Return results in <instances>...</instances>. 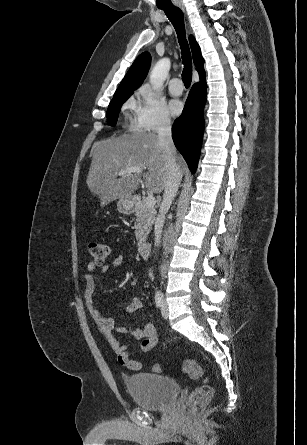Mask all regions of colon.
I'll list each match as a JSON object with an SVG mask.
<instances>
[{
    "instance_id": "1",
    "label": "colon",
    "mask_w": 307,
    "mask_h": 445,
    "mask_svg": "<svg viewBox=\"0 0 307 445\" xmlns=\"http://www.w3.org/2000/svg\"><path fill=\"white\" fill-rule=\"evenodd\" d=\"M88 250L92 256L93 262L97 265L103 264L111 253V248L106 243H90ZM155 372H160L159 364L153 366ZM183 372L187 373L192 379L200 381V385L190 394L187 407L196 410L206 406L213 396V387L205 375L204 370L194 359H186L182 363Z\"/></svg>"
}]
</instances>
